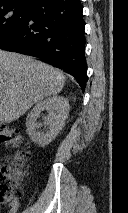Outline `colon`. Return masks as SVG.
I'll list each match as a JSON object with an SVG mask.
<instances>
[{
  "label": "colon",
  "mask_w": 128,
  "mask_h": 213,
  "mask_svg": "<svg viewBox=\"0 0 128 213\" xmlns=\"http://www.w3.org/2000/svg\"><path fill=\"white\" fill-rule=\"evenodd\" d=\"M0 142L14 147L17 151L9 163L0 166V204L8 203L22 196L21 180L27 175L25 161L30 153L28 142L16 128L0 122Z\"/></svg>",
  "instance_id": "1"
}]
</instances>
